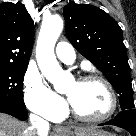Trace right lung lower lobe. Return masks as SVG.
<instances>
[{"instance_id":"obj_1","label":"right lung lower lobe","mask_w":136,"mask_h":136,"mask_svg":"<svg viewBox=\"0 0 136 136\" xmlns=\"http://www.w3.org/2000/svg\"><path fill=\"white\" fill-rule=\"evenodd\" d=\"M0 112L14 116L22 121L28 118V113L25 108L16 106H0Z\"/></svg>"}]
</instances>
